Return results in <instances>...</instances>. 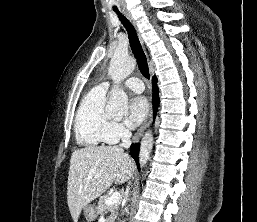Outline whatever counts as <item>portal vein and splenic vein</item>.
Segmentation results:
<instances>
[{
  "mask_svg": "<svg viewBox=\"0 0 257 222\" xmlns=\"http://www.w3.org/2000/svg\"><path fill=\"white\" fill-rule=\"evenodd\" d=\"M120 198H121L120 193H118V192L113 193L112 195H110V196H108V197L106 198L105 204H106L107 206L113 205V204H115V203H118L119 200H120Z\"/></svg>",
  "mask_w": 257,
  "mask_h": 222,
  "instance_id": "18ae733b",
  "label": "portal vein and splenic vein"
}]
</instances>
